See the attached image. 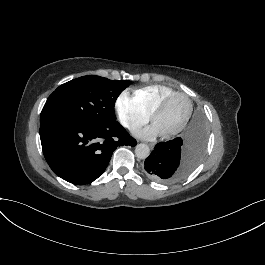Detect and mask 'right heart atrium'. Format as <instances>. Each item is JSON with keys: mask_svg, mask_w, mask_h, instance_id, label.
<instances>
[{"mask_svg": "<svg viewBox=\"0 0 265 265\" xmlns=\"http://www.w3.org/2000/svg\"><path fill=\"white\" fill-rule=\"evenodd\" d=\"M118 108L125 125L131 131L138 130L151 119V112L145 105L135 97H130L127 94H123L119 98Z\"/></svg>", "mask_w": 265, "mask_h": 265, "instance_id": "d8ad5b80", "label": "right heart atrium"}]
</instances>
